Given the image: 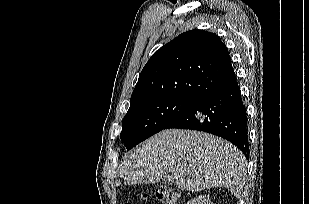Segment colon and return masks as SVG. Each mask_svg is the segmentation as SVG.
I'll return each instance as SVG.
<instances>
[{
	"label": "colon",
	"instance_id": "1",
	"mask_svg": "<svg viewBox=\"0 0 309 204\" xmlns=\"http://www.w3.org/2000/svg\"><path fill=\"white\" fill-rule=\"evenodd\" d=\"M156 197L163 204H176L179 198V192L175 188L161 186L156 191ZM127 204H131V203H127Z\"/></svg>",
	"mask_w": 309,
	"mask_h": 204
}]
</instances>
